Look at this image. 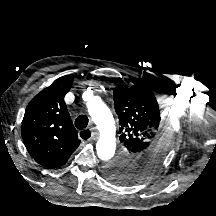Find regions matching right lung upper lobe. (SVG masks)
<instances>
[{"label":"right lung upper lobe","mask_w":216,"mask_h":216,"mask_svg":"<svg viewBox=\"0 0 216 216\" xmlns=\"http://www.w3.org/2000/svg\"><path fill=\"white\" fill-rule=\"evenodd\" d=\"M73 80L72 75L63 76L43 89L28 104L22 121L27 151L49 169L64 165L81 142L64 101Z\"/></svg>","instance_id":"1"}]
</instances>
